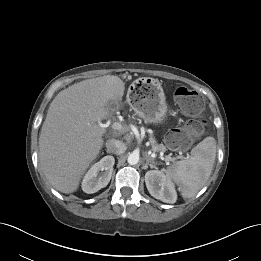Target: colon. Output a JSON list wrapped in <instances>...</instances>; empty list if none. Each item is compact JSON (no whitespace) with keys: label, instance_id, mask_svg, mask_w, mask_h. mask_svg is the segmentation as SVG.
Instances as JSON below:
<instances>
[{"label":"colon","instance_id":"5ec220e1","mask_svg":"<svg viewBox=\"0 0 261 261\" xmlns=\"http://www.w3.org/2000/svg\"><path fill=\"white\" fill-rule=\"evenodd\" d=\"M175 100L181 111L191 116L184 126L173 129L166 137L171 148L179 149L189 146L193 139L203 134L205 121L201 118L203 99L196 91L179 87L175 91Z\"/></svg>","mask_w":261,"mask_h":261}]
</instances>
